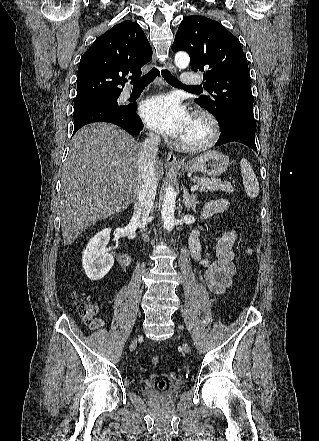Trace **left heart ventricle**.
I'll use <instances>...</instances> for the list:
<instances>
[{
	"instance_id": "obj_1",
	"label": "left heart ventricle",
	"mask_w": 319,
	"mask_h": 441,
	"mask_svg": "<svg viewBox=\"0 0 319 441\" xmlns=\"http://www.w3.org/2000/svg\"><path fill=\"white\" fill-rule=\"evenodd\" d=\"M205 136L206 128L204 124L192 120L181 139L187 141H197L203 139Z\"/></svg>"
}]
</instances>
